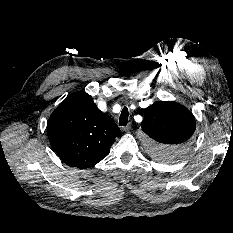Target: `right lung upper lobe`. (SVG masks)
Here are the masks:
<instances>
[{"label":"right lung upper lobe","instance_id":"right-lung-upper-lobe-1","mask_svg":"<svg viewBox=\"0 0 233 233\" xmlns=\"http://www.w3.org/2000/svg\"><path fill=\"white\" fill-rule=\"evenodd\" d=\"M49 141L69 166L86 169L105 158L121 131L101 112L90 95L79 91L67 97L47 123Z\"/></svg>","mask_w":233,"mask_h":233}]
</instances>
